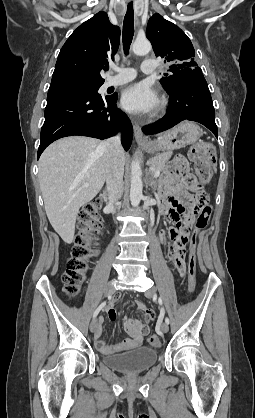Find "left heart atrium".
I'll return each instance as SVG.
<instances>
[{
  "label": "left heart atrium",
  "mask_w": 255,
  "mask_h": 418,
  "mask_svg": "<svg viewBox=\"0 0 255 418\" xmlns=\"http://www.w3.org/2000/svg\"><path fill=\"white\" fill-rule=\"evenodd\" d=\"M156 92L146 83H136L127 88L121 97L123 108L131 113L144 114L158 106Z\"/></svg>",
  "instance_id": "1"
}]
</instances>
